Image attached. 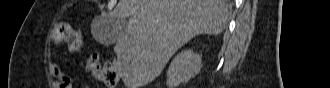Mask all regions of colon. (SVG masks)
<instances>
[{
    "label": "colon",
    "instance_id": "obj_1",
    "mask_svg": "<svg viewBox=\"0 0 330 88\" xmlns=\"http://www.w3.org/2000/svg\"><path fill=\"white\" fill-rule=\"evenodd\" d=\"M55 45L67 44L72 50H79L82 46L81 35L65 21L59 22L52 34ZM88 71L108 87L114 88L118 83V62L101 65L96 55H90L87 63Z\"/></svg>",
    "mask_w": 330,
    "mask_h": 88
}]
</instances>
